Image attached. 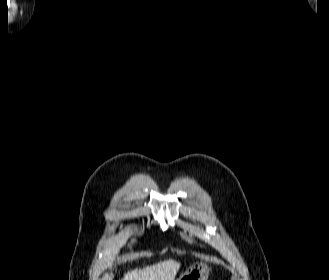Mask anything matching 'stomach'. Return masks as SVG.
<instances>
[{
    "label": "stomach",
    "mask_w": 329,
    "mask_h": 280,
    "mask_svg": "<svg viewBox=\"0 0 329 280\" xmlns=\"http://www.w3.org/2000/svg\"><path fill=\"white\" fill-rule=\"evenodd\" d=\"M209 267L204 263L191 265L177 280H208Z\"/></svg>",
    "instance_id": "0dacf381"
}]
</instances>
